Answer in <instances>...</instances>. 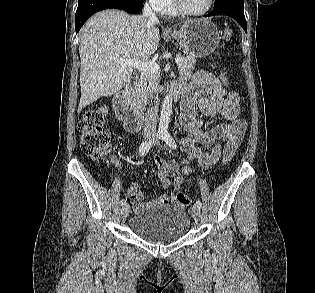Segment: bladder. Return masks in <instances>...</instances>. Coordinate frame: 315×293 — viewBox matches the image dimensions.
<instances>
[{"label":"bladder","mask_w":315,"mask_h":293,"mask_svg":"<svg viewBox=\"0 0 315 293\" xmlns=\"http://www.w3.org/2000/svg\"><path fill=\"white\" fill-rule=\"evenodd\" d=\"M191 220L176 205H159L144 209L131 217L130 230L141 239L154 244H169L182 239Z\"/></svg>","instance_id":"31cf9c89"}]
</instances>
